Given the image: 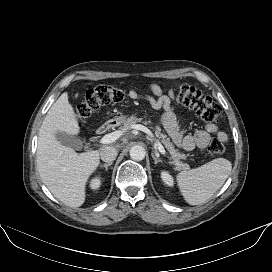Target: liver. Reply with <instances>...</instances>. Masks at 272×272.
<instances>
[{
  "mask_svg": "<svg viewBox=\"0 0 272 272\" xmlns=\"http://www.w3.org/2000/svg\"><path fill=\"white\" fill-rule=\"evenodd\" d=\"M77 116L63 93L47 112L38 136L37 168L49 191L66 206L80 207L86 198V184L100 162V151L77 153L61 144L56 133L77 135Z\"/></svg>",
  "mask_w": 272,
  "mask_h": 272,
  "instance_id": "6515ba94",
  "label": "liver"
}]
</instances>
